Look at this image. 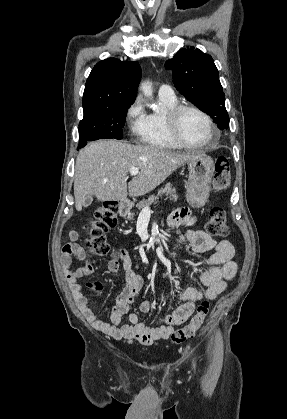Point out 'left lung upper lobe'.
Here are the masks:
<instances>
[{
  "label": "left lung upper lobe",
  "instance_id": "5c2ea615",
  "mask_svg": "<svg viewBox=\"0 0 287 419\" xmlns=\"http://www.w3.org/2000/svg\"><path fill=\"white\" fill-rule=\"evenodd\" d=\"M165 66L171 71L177 90L210 115L220 129H227L225 95L212 57L191 47L180 50Z\"/></svg>",
  "mask_w": 287,
  "mask_h": 419
}]
</instances>
